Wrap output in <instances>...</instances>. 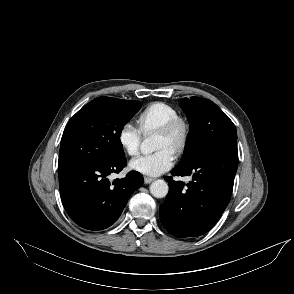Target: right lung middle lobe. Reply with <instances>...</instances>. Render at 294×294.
Listing matches in <instances>:
<instances>
[{"instance_id":"1","label":"right lung middle lobe","mask_w":294,"mask_h":294,"mask_svg":"<svg viewBox=\"0 0 294 294\" xmlns=\"http://www.w3.org/2000/svg\"><path fill=\"white\" fill-rule=\"evenodd\" d=\"M140 108V101L110 97H98L89 102L65 127L58 168L125 157L121 131Z\"/></svg>"}]
</instances>
